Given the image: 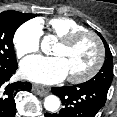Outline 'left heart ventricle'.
<instances>
[{
  "instance_id": "obj_1",
  "label": "left heart ventricle",
  "mask_w": 117,
  "mask_h": 117,
  "mask_svg": "<svg viewBox=\"0 0 117 117\" xmlns=\"http://www.w3.org/2000/svg\"><path fill=\"white\" fill-rule=\"evenodd\" d=\"M52 53L63 61L67 76H79L95 64L98 50L95 41L91 37L85 36L71 46L57 43Z\"/></svg>"
}]
</instances>
